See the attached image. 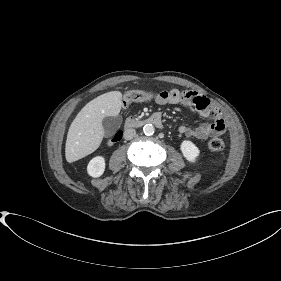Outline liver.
<instances>
[{"instance_id":"1","label":"liver","mask_w":281,"mask_h":281,"mask_svg":"<svg viewBox=\"0 0 281 281\" xmlns=\"http://www.w3.org/2000/svg\"><path fill=\"white\" fill-rule=\"evenodd\" d=\"M122 107V93H104L87 103L71 123L66 140L67 162L77 161L100 146L104 129L102 121L108 116H118Z\"/></svg>"}]
</instances>
